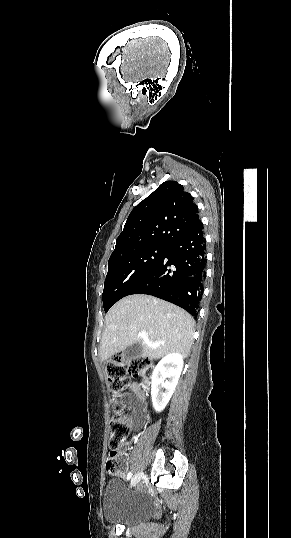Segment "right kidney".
<instances>
[{"instance_id": "1", "label": "right kidney", "mask_w": 291, "mask_h": 538, "mask_svg": "<svg viewBox=\"0 0 291 538\" xmlns=\"http://www.w3.org/2000/svg\"><path fill=\"white\" fill-rule=\"evenodd\" d=\"M183 368V357L173 352L164 356L156 365L151 377V396L153 407L162 411L169 402ZM168 380L165 381V379ZM164 388V391L161 389Z\"/></svg>"}]
</instances>
